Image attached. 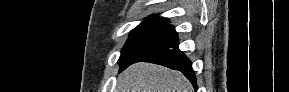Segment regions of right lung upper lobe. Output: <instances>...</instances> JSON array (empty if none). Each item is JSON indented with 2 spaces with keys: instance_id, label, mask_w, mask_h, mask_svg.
I'll use <instances>...</instances> for the list:
<instances>
[{
  "instance_id": "1",
  "label": "right lung upper lobe",
  "mask_w": 289,
  "mask_h": 92,
  "mask_svg": "<svg viewBox=\"0 0 289 92\" xmlns=\"http://www.w3.org/2000/svg\"><path fill=\"white\" fill-rule=\"evenodd\" d=\"M146 20L155 22H166V18L159 17L158 15H153L152 17L146 18Z\"/></svg>"
}]
</instances>
